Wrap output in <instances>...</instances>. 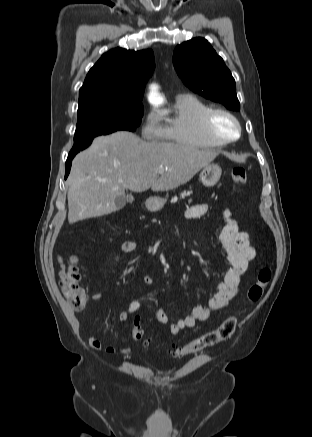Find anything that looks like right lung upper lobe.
I'll use <instances>...</instances> for the list:
<instances>
[{
  "instance_id": "right-lung-upper-lobe-1",
  "label": "right lung upper lobe",
  "mask_w": 312,
  "mask_h": 437,
  "mask_svg": "<svg viewBox=\"0 0 312 437\" xmlns=\"http://www.w3.org/2000/svg\"><path fill=\"white\" fill-rule=\"evenodd\" d=\"M153 69L154 55L151 49L110 50L89 70L79 90V108L141 105L144 87Z\"/></svg>"
}]
</instances>
